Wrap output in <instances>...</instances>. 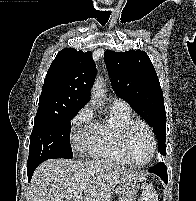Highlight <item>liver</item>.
Here are the masks:
<instances>
[{"label": "liver", "instance_id": "1", "mask_svg": "<svg viewBox=\"0 0 196 201\" xmlns=\"http://www.w3.org/2000/svg\"><path fill=\"white\" fill-rule=\"evenodd\" d=\"M128 180L143 178L105 161L46 160L34 171L28 201H111L116 186Z\"/></svg>", "mask_w": 196, "mask_h": 201}]
</instances>
